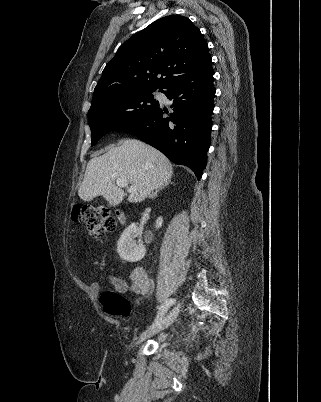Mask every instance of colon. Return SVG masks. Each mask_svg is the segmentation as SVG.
Returning <instances> with one entry per match:
<instances>
[{
  "mask_svg": "<svg viewBox=\"0 0 321 402\" xmlns=\"http://www.w3.org/2000/svg\"><path fill=\"white\" fill-rule=\"evenodd\" d=\"M72 220L85 225L92 237H100L116 228V220L110 210L100 206H78L73 209ZM101 304L106 314L128 317L131 313L129 300L121 293L107 291L101 296Z\"/></svg>",
  "mask_w": 321,
  "mask_h": 402,
  "instance_id": "obj_1",
  "label": "colon"
}]
</instances>
